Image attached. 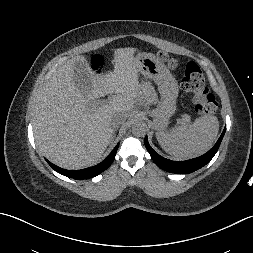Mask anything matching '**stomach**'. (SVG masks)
<instances>
[{"instance_id": "stomach-1", "label": "stomach", "mask_w": 253, "mask_h": 253, "mask_svg": "<svg viewBox=\"0 0 253 253\" xmlns=\"http://www.w3.org/2000/svg\"><path fill=\"white\" fill-rule=\"evenodd\" d=\"M138 61L139 72L146 78L152 79L158 85L161 101L151 111L154 127L163 130L169 124L170 117L176 110V98L178 96V84L169 69L160 62L154 54L139 53L135 56Z\"/></svg>"}]
</instances>
